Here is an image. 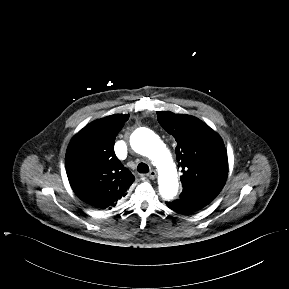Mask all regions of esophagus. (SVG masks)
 I'll return each mask as SVG.
<instances>
[{
	"label": "esophagus",
	"instance_id": "1",
	"mask_svg": "<svg viewBox=\"0 0 289 289\" xmlns=\"http://www.w3.org/2000/svg\"><path fill=\"white\" fill-rule=\"evenodd\" d=\"M156 176H157V173H156V171H154V170H151L148 174H147V177L149 178V179H155L156 178Z\"/></svg>",
	"mask_w": 289,
	"mask_h": 289
}]
</instances>
